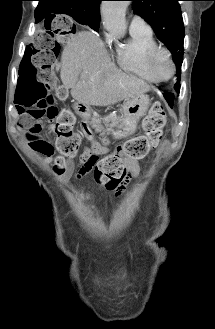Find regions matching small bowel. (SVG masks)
Listing matches in <instances>:
<instances>
[{
    "instance_id": "small-bowel-1",
    "label": "small bowel",
    "mask_w": 215,
    "mask_h": 329,
    "mask_svg": "<svg viewBox=\"0 0 215 329\" xmlns=\"http://www.w3.org/2000/svg\"><path fill=\"white\" fill-rule=\"evenodd\" d=\"M20 125H27V126H29V128L32 127V125H30V123L28 121H26L22 118L20 120ZM24 132L27 136V143H28L29 147L32 148L33 150L41 153L44 156V160L48 161L50 159V157L52 156L54 150L51 153H44V152L39 151L33 145L34 141L36 140V135H34L33 133L26 132V131H24ZM40 136L43 137L44 139H46L44 136L41 135V133H40ZM104 151H105L104 145H101L97 142H93L90 147H88L84 150L82 158L90 156L92 154L103 153ZM124 164L128 171L125 182H129L130 179H132L133 177H135L138 174L139 167H138L137 162L132 159H126ZM130 187L132 189H135L137 187V184L135 182H132L130 184ZM123 188L124 187L122 186L116 191L117 196L121 195Z\"/></svg>"
}]
</instances>
